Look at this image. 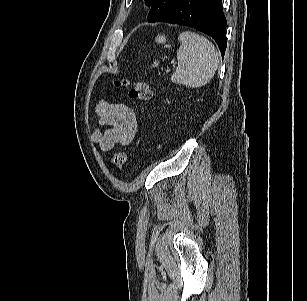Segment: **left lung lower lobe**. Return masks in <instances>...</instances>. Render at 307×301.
I'll return each mask as SVG.
<instances>
[{
    "instance_id": "left-lung-lower-lobe-1",
    "label": "left lung lower lobe",
    "mask_w": 307,
    "mask_h": 301,
    "mask_svg": "<svg viewBox=\"0 0 307 301\" xmlns=\"http://www.w3.org/2000/svg\"><path fill=\"white\" fill-rule=\"evenodd\" d=\"M157 22L186 25L206 33L217 42L221 55L224 56L227 22L222 0H179Z\"/></svg>"
}]
</instances>
